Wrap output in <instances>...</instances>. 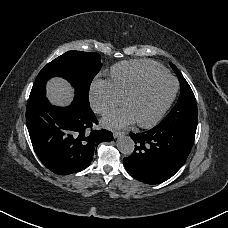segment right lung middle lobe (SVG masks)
I'll return each mask as SVG.
<instances>
[{
    "instance_id": "obj_1",
    "label": "right lung middle lobe",
    "mask_w": 228,
    "mask_h": 228,
    "mask_svg": "<svg viewBox=\"0 0 228 228\" xmlns=\"http://www.w3.org/2000/svg\"><path fill=\"white\" fill-rule=\"evenodd\" d=\"M102 67L98 53L68 51L47 64L38 74L29 99L45 95L46 81L63 77L75 89L74 103L89 108L90 84Z\"/></svg>"
}]
</instances>
